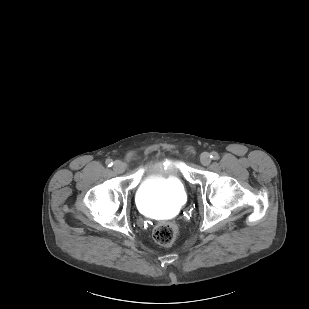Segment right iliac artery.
Listing matches in <instances>:
<instances>
[{
    "mask_svg": "<svg viewBox=\"0 0 309 309\" xmlns=\"http://www.w3.org/2000/svg\"><path fill=\"white\" fill-rule=\"evenodd\" d=\"M105 163L108 167H111L113 165V161L111 159H107Z\"/></svg>",
    "mask_w": 309,
    "mask_h": 309,
    "instance_id": "1",
    "label": "right iliac artery"
}]
</instances>
